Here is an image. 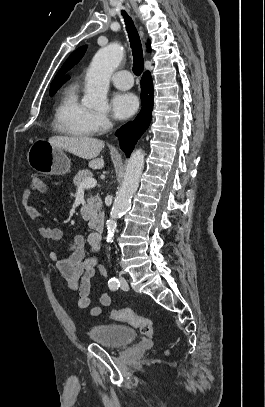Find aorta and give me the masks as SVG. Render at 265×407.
Listing matches in <instances>:
<instances>
[{
	"label": "aorta",
	"instance_id": "1",
	"mask_svg": "<svg viewBox=\"0 0 265 407\" xmlns=\"http://www.w3.org/2000/svg\"><path fill=\"white\" fill-rule=\"evenodd\" d=\"M122 58L123 49L119 43H111L95 54L85 77L86 91L83 97L85 106L91 108H105L107 106L110 77ZM143 168L144 153L141 149H136L128 160L123 182L116 194L110 218L106 222L108 242L112 241L117 227V219L131 205V199L138 189Z\"/></svg>",
	"mask_w": 265,
	"mask_h": 407
}]
</instances>
